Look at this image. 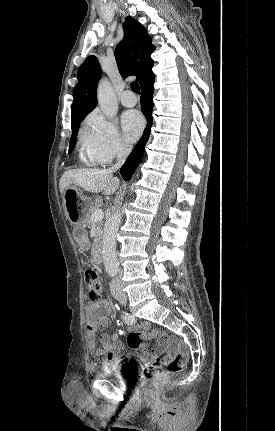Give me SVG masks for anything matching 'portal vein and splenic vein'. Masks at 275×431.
<instances>
[{
  "instance_id": "portal-vein-and-splenic-vein-1",
  "label": "portal vein and splenic vein",
  "mask_w": 275,
  "mask_h": 431,
  "mask_svg": "<svg viewBox=\"0 0 275 431\" xmlns=\"http://www.w3.org/2000/svg\"><path fill=\"white\" fill-rule=\"evenodd\" d=\"M103 215V210L99 208L92 213L91 219L93 221H99L103 219Z\"/></svg>"
}]
</instances>
